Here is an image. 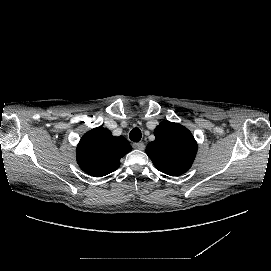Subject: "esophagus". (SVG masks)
I'll list each match as a JSON object with an SVG mask.
<instances>
[{
  "instance_id": "1",
  "label": "esophagus",
  "mask_w": 271,
  "mask_h": 271,
  "mask_svg": "<svg viewBox=\"0 0 271 271\" xmlns=\"http://www.w3.org/2000/svg\"><path fill=\"white\" fill-rule=\"evenodd\" d=\"M132 147L134 149L144 150L145 149V144L143 142H135V143L132 144Z\"/></svg>"
}]
</instances>
